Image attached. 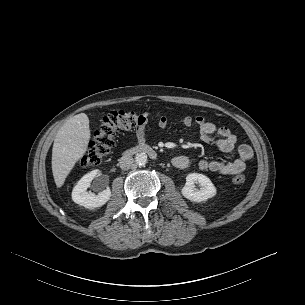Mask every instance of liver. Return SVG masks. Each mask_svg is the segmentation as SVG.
Wrapping results in <instances>:
<instances>
[{
  "label": "liver",
  "instance_id": "6515ba94",
  "mask_svg": "<svg viewBox=\"0 0 305 305\" xmlns=\"http://www.w3.org/2000/svg\"><path fill=\"white\" fill-rule=\"evenodd\" d=\"M90 137L89 118L85 113L68 119L57 132L52 149V173L58 188L87 151Z\"/></svg>",
  "mask_w": 305,
  "mask_h": 305
}]
</instances>
